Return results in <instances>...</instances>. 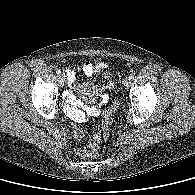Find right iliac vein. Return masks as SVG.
<instances>
[{
  "label": "right iliac vein",
  "instance_id": "63e3f726",
  "mask_svg": "<svg viewBox=\"0 0 195 195\" xmlns=\"http://www.w3.org/2000/svg\"><path fill=\"white\" fill-rule=\"evenodd\" d=\"M59 80H60V83L62 85H64L66 83V77H65V75L64 74L60 75L59 76Z\"/></svg>",
  "mask_w": 195,
  "mask_h": 195
}]
</instances>
